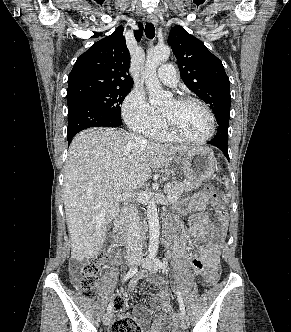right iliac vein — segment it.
<instances>
[{
  "instance_id": "obj_1",
  "label": "right iliac vein",
  "mask_w": 291,
  "mask_h": 332,
  "mask_svg": "<svg viewBox=\"0 0 291 332\" xmlns=\"http://www.w3.org/2000/svg\"><path fill=\"white\" fill-rule=\"evenodd\" d=\"M138 262V259L134 256H131L128 258V265L129 266H134L136 263ZM112 320V314L107 313L104 315L103 317V323L104 325H109L111 323Z\"/></svg>"
}]
</instances>
